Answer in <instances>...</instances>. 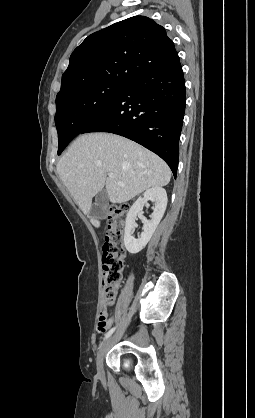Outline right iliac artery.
<instances>
[{
    "label": "right iliac artery",
    "instance_id": "right-iliac-artery-1",
    "mask_svg": "<svg viewBox=\"0 0 255 418\" xmlns=\"http://www.w3.org/2000/svg\"><path fill=\"white\" fill-rule=\"evenodd\" d=\"M116 327L111 328L104 336V340L108 339L112 333L115 331Z\"/></svg>",
    "mask_w": 255,
    "mask_h": 418
}]
</instances>
